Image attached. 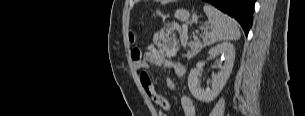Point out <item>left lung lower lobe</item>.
<instances>
[{
    "label": "left lung lower lobe",
    "mask_w": 305,
    "mask_h": 116,
    "mask_svg": "<svg viewBox=\"0 0 305 116\" xmlns=\"http://www.w3.org/2000/svg\"><path fill=\"white\" fill-rule=\"evenodd\" d=\"M235 18L247 35L252 26L255 0H205Z\"/></svg>",
    "instance_id": "left-lung-lower-lobe-1"
}]
</instances>
